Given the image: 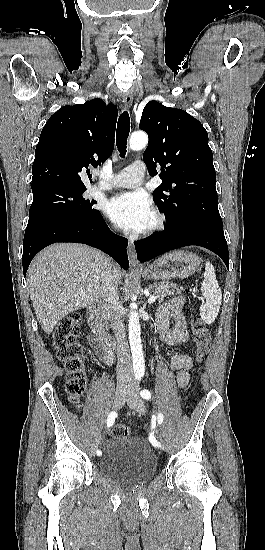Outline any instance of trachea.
<instances>
[{
  "mask_svg": "<svg viewBox=\"0 0 265 550\" xmlns=\"http://www.w3.org/2000/svg\"><path fill=\"white\" fill-rule=\"evenodd\" d=\"M130 132V117L127 111H124L118 120L117 132H116V145L120 156L124 157L126 154L127 139Z\"/></svg>",
  "mask_w": 265,
  "mask_h": 550,
  "instance_id": "obj_1",
  "label": "trachea"
}]
</instances>
